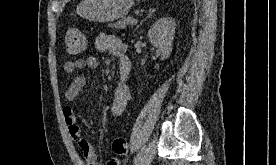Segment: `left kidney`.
<instances>
[{
    "label": "left kidney",
    "instance_id": "1",
    "mask_svg": "<svg viewBox=\"0 0 276 165\" xmlns=\"http://www.w3.org/2000/svg\"><path fill=\"white\" fill-rule=\"evenodd\" d=\"M174 33L175 19L172 17L157 20L148 31V39L154 47L160 50L161 60L167 59L172 52Z\"/></svg>",
    "mask_w": 276,
    "mask_h": 165
}]
</instances>
